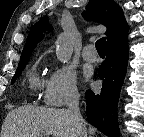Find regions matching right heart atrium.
<instances>
[{
  "mask_svg": "<svg viewBox=\"0 0 144 137\" xmlns=\"http://www.w3.org/2000/svg\"><path fill=\"white\" fill-rule=\"evenodd\" d=\"M79 97L75 71L66 65L54 68L43 90V101L49 106H65Z\"/></svg>",
  "mask_w": 144,
  "mask_h": 137,
  "instance_id": "1",
  "label": "right heart atrium"
}]
</instances>
